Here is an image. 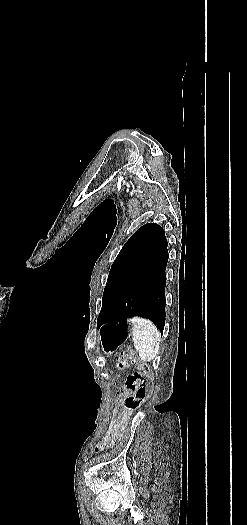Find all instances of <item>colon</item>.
I'll return each mask as SVG.
<instances>
[{"mask_svg":"<svg viewBox=\"0 0 247 525\" xmlns=\"http://www.w3.org/2000/svg\"><path fill=\"white\" fill-rule=\"evenodd\" d=\"M117 364L114 369L117 372L123 371L124 368L131 364L138 366V372L128 376L126 384L129 388L134 389L133 394L125 396L123 404L129 411H134L146 399L148 394V380L151 367L149 364L138 361L135 357L134 351L131 348L123 350L117 358Z\"/></svg>","mask_w":247,"mask_h":525,"instance_id":"obj_1","label":"colon"}]
</instances>
